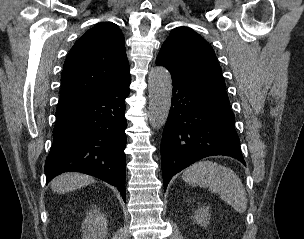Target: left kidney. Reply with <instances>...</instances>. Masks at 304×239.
Returning <instances> with one entry per match:
<instances>
[{"instance_id": "left-kidney-1", "label": "left kidney", "mask_w": 304, "mask_h": 239, "mask_svg": "<svg viewBox=\"0 0 304 239\" xmlns=\"http://www.w3.org/2000/svg\"><path fill=\"white\" fill-rule=\"evenodd\" d=\"M210 214L208 207H200L198 210L195 211L194 220L197 224L206 227L209 223Z\"/></svg>"}]
</instances>
